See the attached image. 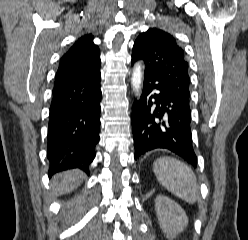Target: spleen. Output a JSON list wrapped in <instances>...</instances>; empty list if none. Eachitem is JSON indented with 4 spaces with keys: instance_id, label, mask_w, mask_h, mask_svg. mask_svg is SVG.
<instances>
[{
    "instance_id": "3e777b00",
    "label": "spleen",
    "mask_w": 248,
    "mask_h": 240,
    "mask_svg": "<svg viewBox=\"0 0 248 240\" xmlns=\"http://www.w3.org/2000/svg\"><path fill=\"white\" fill-rule=\"evenodd\" d=\"M159 183L175 196L193 204L199 195V186L193 170L177 159L161 157L153 163Z\"/></svg>"
}]
</instances>
